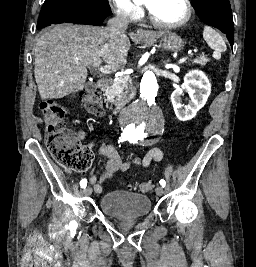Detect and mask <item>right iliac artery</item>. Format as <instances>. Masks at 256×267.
I'll return each mask as SVG.
<instances>
[{
    "instance_id": "right-iliac-artery-1",
    "label": "right iliac artery",
    "mask_w": 256,
    "mask_h": 267,
    "mask_svg": "<svg viewBox=\"0 0 256 267\" xmlns=\"http://www.w3.org/2000/svg\"><path fill=\"white\" fill-rule=\"evenodd\" d=\"M125 140H126V138L120 137L118 143L123 142ZM80 186H81V188H85L87 186V179H82L80 181Z\"/></svg>"
}]
</instances>
